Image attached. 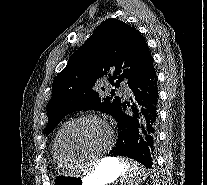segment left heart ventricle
<instances>
[{"label": "left heart ventricle", "instance_id": "1", "mask_svg": "<svg viewBox=\"0 0 207 185\" xmlns=\"http://www.w3.org/2000/svg\"><path fill=\"white\" fill-rule=\"evenodd\" d=\"M70 140L76 151L95 153L105 150L106 144L111 141V135L103 122L86 120L74 128Z\"/></svg>", "mask_w": 207, "mask_h": 185}]
</instances>
